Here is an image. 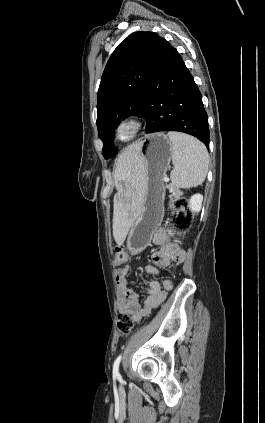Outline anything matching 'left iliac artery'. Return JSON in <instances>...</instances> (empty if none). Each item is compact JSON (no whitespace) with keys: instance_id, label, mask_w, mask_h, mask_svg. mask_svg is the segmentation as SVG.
Listing matches in <instances>:
<instances>
[{"instance_id":"left-iliac-artery-1","label":"left iliac artery","mask_w":265,"mask_h":423,"mask_svg":"<svg viewBox=\"0 0 265 423\" xmlns=\"http://www.w3.org/2000/svg\"><path fill=\"white\" fill-rule=\"evenodd\" d=\"M121 358H122V355H119L113 364V376L117 378H121V375L119 373V364L121 362Z\"/></svg>"}]
</instances>
